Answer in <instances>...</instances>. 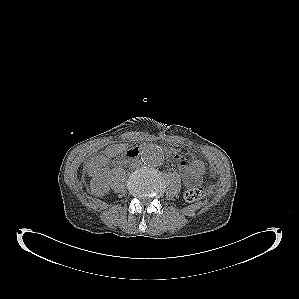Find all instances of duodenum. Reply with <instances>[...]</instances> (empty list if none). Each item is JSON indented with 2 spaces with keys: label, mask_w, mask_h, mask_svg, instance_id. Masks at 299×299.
Listing matches in <instances>:
<instances>
[{
  "label": "duodenum",
  "mask_w": 299,
  "mask_h": 299,
  "mask_svg": "<svg viewBox=\"0 0 299 299\" xmlns=\"http://www.w3.org/2000/svg\"><path fill=\"white\" fill-rule=\"evenodd\" d=\"M139 155H140V149L138 147L131 148L126 152L124 158L121 159L120 163L121 164L129 163L137 159Z\"/></svg>",
  "instance_id": "1"
}]
</instances>
